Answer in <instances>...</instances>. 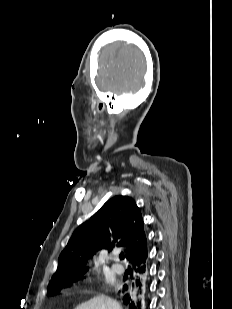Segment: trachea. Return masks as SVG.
I'll return each instance as SVG.
<instances>
[{
  "label": "trachea",
  "mask_w": 232,
  "mask_h": 309,
  "mask_svg": "<svg viewBox=\"0 0 232 309\" xmlns=\"http://www.w3.org/2000/svg\"><path fill=\"white\" fill-rule=\"evenodd\" d=\"M119 256H120V258H122V259H123V258H124V253H120V255H119Z\"/></svg>",
  "instance_id": "obj_1"
}]
</instances>
